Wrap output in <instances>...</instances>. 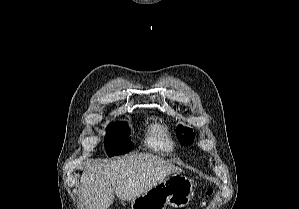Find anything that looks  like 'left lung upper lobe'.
Returning a JSON list of instances; mask_svg holds the SVG:
<instances>
[{
  "instance_id": "obj_1",
  "label": "left lung upper lobe",
  "mask_w": 299,
  "mask_h": 209,
  "mask_svg": "<svg viewBox=\"0 0 299 209\" xmlns=\"http://www.w3.org/2000/svg\"><path fill=\"white\" fill-rule=\"evenodd\" d=\"M181 131L185 132V137H182ZM177 136L183 145H190L193 142L195 134L190 128H183L181 125L177 129Z\"/></svg>"
}]
</instances>
